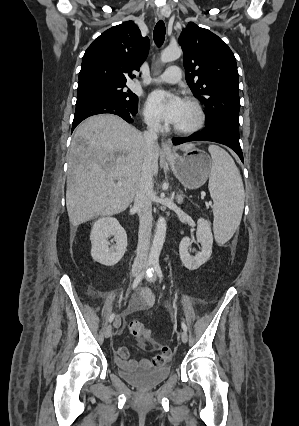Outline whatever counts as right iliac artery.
Here are the masks:
<instances>
[{
    "label": "right iliac artery",
    "mask_w": 299,
    "mask_h": 426,
    "mask_svg": "<svg viewBox=\"0 0 299 426\" xmlns=\"http://www.w3.org/2000/svg\"><path fill=\"white\" fill-rule=\"evenodd\" d=\"M151 264H152V262L151 261H149L148 263H147V266H146V269L145 270H143L136 278H135V280H134V282H133V284H132V289H135L138 285H139V283L141 282V280L143 279V277H144V275H145V272H147V270H148V267L149 266H151ZM114 317H115V313H112L111 315H110V317H109V319H108V322H112L113 321V319H114Z\"/></svg>",
    "instance_id": "right-iliac-artery-1"
}]
</instances>
